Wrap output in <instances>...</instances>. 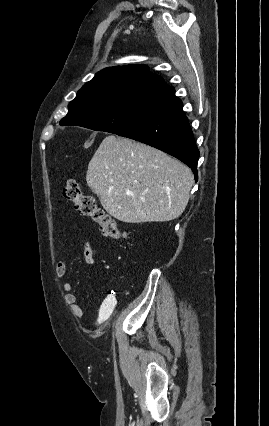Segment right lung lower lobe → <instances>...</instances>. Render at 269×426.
Masks as SVG:
<instances>
[{"label": "right lung lower lobe", "mask_w": 269, "mask_h": 426, "mask_svg": "<svg viewBox=\"0 0 269 426\" xmlns=\"http://www.w3.org/2000/svg\"><path fill=\"white\" fill-rule=\"evenodd\" d=\"M160 149L189 166L197 181L199 150L188 119L183 112L182 101L168 87L154 107L131 127L115 133Z\"/></svg>", "instance_id": "98d812e1"}]
</instances>
